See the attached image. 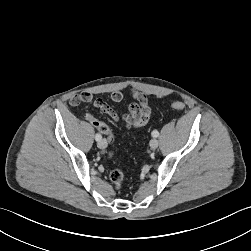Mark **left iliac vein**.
<instances>
[{
  "label": "left iliac vein",
  "mask_w": 251,
  "mask_h": 251,
  "mask_svg": "<svg viewBox=\"0 0 251 251\" xmlns=\"http://www.w3.org/2000/svg\"><path fill=\"white\" fill-rule=\"evenodd\" d=\"M149 145H150V147H151L152 149H156V148L158 147V145H159V142H158L157 139H152V140L150 141Z\"/></svg>",
  "instance_id": "obj_1"
}]
</instances>
